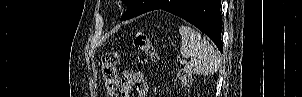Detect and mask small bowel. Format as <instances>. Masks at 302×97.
I'll return each mask as SVG.
<instances>
[{"label": "small bowel", "mask_w": 302, "mask_h": 97, "mask_svg": "<svg viewBox=\"0 0 302 97\" xmlns=\"http://www.w3.org/2000/svg\"><path fill=\"white\" fill-rule=\"evenodd\" d=\"M135 91L137 97H147L148 85L140 71H124L121 77L120 94L116 97H131Z\"/></svg>", "instance_id": "c3829d8e"}]
</instances>
